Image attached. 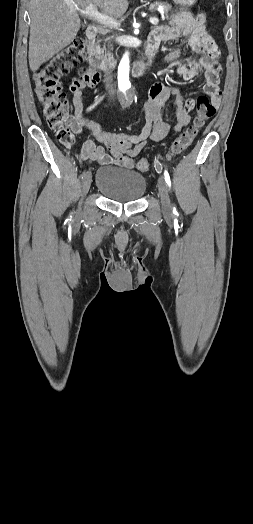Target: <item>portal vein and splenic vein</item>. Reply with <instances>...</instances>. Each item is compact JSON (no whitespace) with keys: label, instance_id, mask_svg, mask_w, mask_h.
Listing matches in <instances>:
<instances>
[{"label":"portal vein and splenic vein","instance_id":"portal-vein-and-splenic-vein-1","mask_svg":"<svg viewBox=\"0 0 253 524\" xmlns=\"http://www.w3.org/2000/svg\"><path fill=\"white\" fill-rule=\"evenodd\" d=\"M74 9L78 10L80 13L104 24V25H109V26H112V27H118L120 26V23L114 19L113 17H110L109 15H106V14H103V13H100L97 9L96 6H94L93 4H90L88 5L87 7L81 9L77 6L74 7ZM150 23L153 24V25H157L159 23V19L156 18V17H151L150 18Z\"/></svg>","mask_w":253,"mask_h":524}]
</instances>
